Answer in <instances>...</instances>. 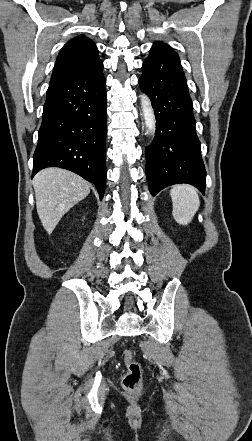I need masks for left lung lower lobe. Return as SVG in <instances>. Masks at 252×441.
Masks as SVG:
<instances>
[{"instance_id":"obj_1","label":"left lung lower lobe","mask_w":252,"mask_h":441,"mask_svg":"<svg viewBox=\"0 0 252 441\" xmlns=\"http://www.w3.org/2000/svg\"><path fill=\"white\" fill-rule=\"evenodd\" d=\"M142 68L139 85L149 96L157 120L154 140L145 149L149 190L156 195L169 185L189 183L204 193L206 171L180 59L158 42Z\"/></svg>"}]
</instances>
